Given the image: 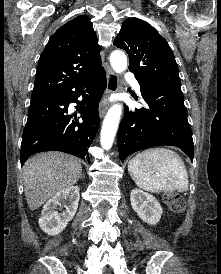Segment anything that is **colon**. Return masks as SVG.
I'll return each mask as SVG.
<instances>
[{"mask_svg": "<svg viewBox=\"0 0 221 274\" xmlns=\"http://www.w3.org/2000/svg\"><path fill=\"white\" fill-rule=\"evenodd\" d=\"M165 202L176 213H181L185 208V202L181 195L170 192L165 195Z\"/></svg>", "mask_w": 221, "mask_h": 274, "instance_id": "1", "label": "colon"}]
</instances>
